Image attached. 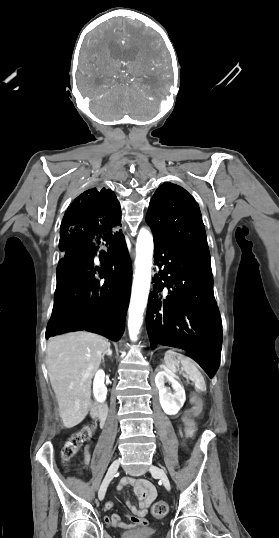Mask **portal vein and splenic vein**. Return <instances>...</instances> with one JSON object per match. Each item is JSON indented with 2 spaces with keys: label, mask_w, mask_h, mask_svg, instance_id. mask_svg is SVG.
Wrapping results in <instances>:
<instances>
[{
  "label": "portal vein and splenic vein",
  "mask_w": 279,
  "mask_h": 538,
  "mask_svg": "<svg viewBox=\"0 0 279 538\" xmlns=\"http://www.w3.org/2000/svg\"><path fill=\"white\" fill-rule=\"evenodd\" d=\"M187 384H190V381H187Z\"/></svg>",
  "instance_id": "1"
}]
</instances>
